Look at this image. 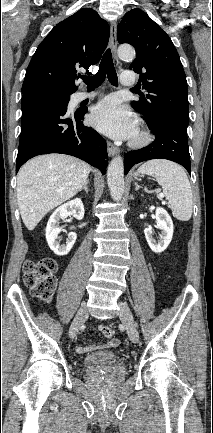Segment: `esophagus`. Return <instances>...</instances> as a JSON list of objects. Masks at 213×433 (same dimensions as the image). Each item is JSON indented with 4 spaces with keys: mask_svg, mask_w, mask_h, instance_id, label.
Instances as JSON below:
<instances>
[{
    "mask_svg": "<svg viewBox=\"0 0 213 433\" xmlns=\"http://www.w3.org/2000/svg\"><path fill=\"white\" fill-rule=\"evenodd\" d=\"M116 32H117V22L112 21L111 25H110V47H111V50L113 53L114 62L116 65H118L119 60H118L117 55H116V49H117ZM107 150H108L109 156L117 155L120 152L119 148L114 146L111 142L107 143Z\"/></svg>",
    "mask_w": 213,
    "mask_h": 433,
    "instance_id": "1",
    "label": "esophagus"
}]
</instances>
